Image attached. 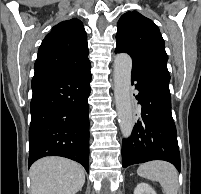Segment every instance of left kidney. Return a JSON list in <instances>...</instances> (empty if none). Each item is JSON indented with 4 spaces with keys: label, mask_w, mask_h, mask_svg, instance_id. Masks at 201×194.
I'll return each instance as SVG.
<instances>
[{
    "label": "left kidney",
    "mask_w": 201,
    "mask_h": 194,
    "mask_svg": "<svg viewBox=\"0 0 201 194\" xmlns=\"http://www.w3.org/2000/svg\"><path fill=\"white\" fill-rule=\"evenodd\" d=\"M134 194H157L147 183H139L134 190Z\"/></svg>",
    "instance_id": "5707ae66"
}]
</instances>
